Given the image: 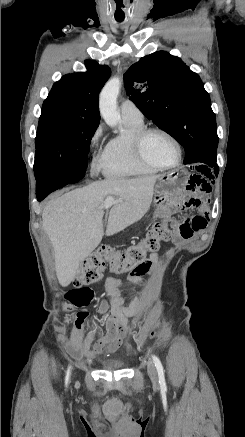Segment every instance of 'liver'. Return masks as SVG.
<instances>
[{"label": "liver", "instance_id": "obj_1", "mask_svg": "<svg viewBox=\"0 0 245 437\" xmlns=\"http://www.w3.org/2000/svg\"><path fill=\"white\" fill-rule=\"evenodd\" d=\"M158 178L142 176L94 182L46 204L42 212L43 229L53 246L61 286L66 287L73 281L79 263L100 244L104 235L112 236L124 230L148 212ZM107 197L122 201L112 205L105 230L103 216Z\"/></svg>", "mask_w": 245, "mask_h": 437}]
</instances>
